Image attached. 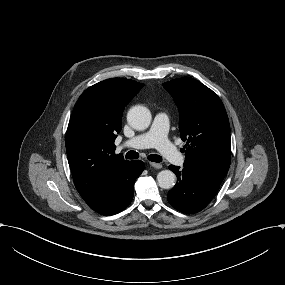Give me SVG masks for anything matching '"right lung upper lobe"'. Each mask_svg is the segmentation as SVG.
<instances>
[{
	"instance_id": "1",
	"label": "right lung upper lobe",
	"mask_w": 285,
	"mask_h": 285,
	"mask_svg": "<svg viewBox=\"0 0 285 285\" xmlns=\"http://www.w3.org/2000/svg\"><path fill=\"white\" fill-rule=\"evenodd\" d=\"M144 84L112 78L79 97L66 132V151L75 187L88 205L97 202L129 162L115 154L124 106Z\"/></svg>"
}]
</instances>
